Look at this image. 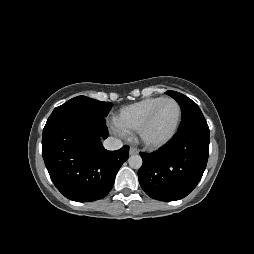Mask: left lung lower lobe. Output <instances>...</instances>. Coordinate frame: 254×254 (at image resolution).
Here are the masks:
<instances>
[{
	"instance_id": "obj_1",
	"label": "left lung lower lobe",
	"mask_w": 254,
	"mask_h": 254,
	"mask_svg": "<svg viewBox=\"0 0 254 254\" xmlns=\"http://www.w3.org/2000/svg\"><path fill=\"white\" fill-rule=\"evenodd\" d=\"M138 171L142 189L151 198L175 201L186 197L199 183L209 155V127L192 126L179 130L158 151L140 153Z\"/></svg>"
}]
</instances>
